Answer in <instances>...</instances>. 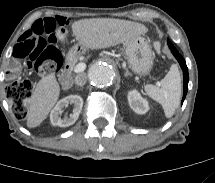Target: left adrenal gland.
<instances>
[{
	"label": "left adrenal gland",
	"instance_id": "a2214340",
	"mask_svg": "<svg viewBox=\"0 0 215 183\" xmlns=\"http://www.w3.org/2000/svg\"><path fill=\"white\" fill-rule=\"evenodd\" d=\"M125 74L124 76L127 77V76H132V74L129 72V70L127 68H125Z\"/></svg>",
	"mask_w": 215,
	"mask_h": 183
}]
</instances>
